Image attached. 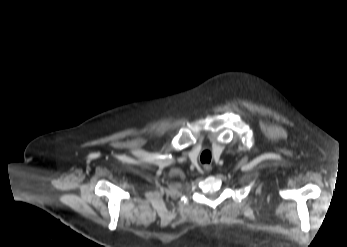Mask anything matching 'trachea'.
Listing matches in <instances>:
<instances>
[{"instance_id":"obj_1","label":"trachea","mask_w":347,"mask_h":247,"mask_svg":"<svg viewBox=\"0 0 347 247\" xmlns=\"http://www.w3.org/2000/svg\"><path fill=\"white\" fill-rule=\"evenodd\" d=\"M201 162L202 163H210L211 161V153L207 150L203 151L202 154H201Z\"/></svg>"}]
</instances>
